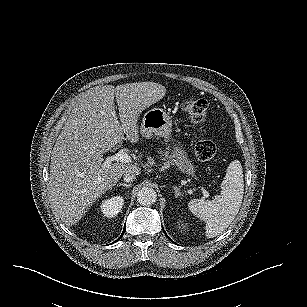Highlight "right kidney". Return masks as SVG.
<instances>
[{"label": "right kidney", "mask_w": 307, "mask_h": 307, "mask_svg": "<svg viewBox=\"0 0 307 307\" xmlns=\"http://www.w3.org/2000/svg\"><path fill=\"white\" fill-rule=\"evenodd\" d=\"M123 205L124 197L122 195H114L102 199L98 205V210L104 219H111L118 215Z\"/></svg>", "instance_id": "right-kidney-1"}]
</instances>
